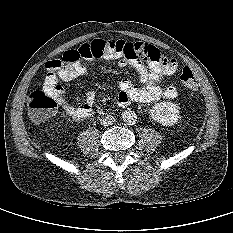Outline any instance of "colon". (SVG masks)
<instances>
[{"mask_svg":"<svg viewBox=\"0 0 233 233\" xmlns=\"http://www.w3.org/2000/svg\"><path fill=\"white\" fill-rule=\"evenodd\" d=\"M110 42L97 40L89 44H83L78 49L68 50L59 59L49 61V67L55 70H63L72 67L82 59L100 58L105 53V47ZM180 80L184 87L189 90H195L197 83L192 70L184 67L180 74ZM29 116L35 122H42L49 118L56 111L58 102L52 92L46 90L32 91L26 100Z\"/></svg>","mask_w":233,"mask_h":233,"instance_id":"1","label":"colon"}]
</instances>
